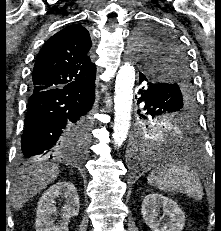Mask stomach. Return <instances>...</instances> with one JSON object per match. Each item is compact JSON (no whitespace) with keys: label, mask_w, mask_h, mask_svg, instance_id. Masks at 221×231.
<instances>
[{"label":"stomach","mask_w":221,"mask_h":231,"mask_svg":"<svg viewBox=\"0 0 221 231\" xmlns=\"http://www.w3.org/2000/svg\"><path fill=\"white\" fill-rule=\"evenodd\" d=\"M171 129H174V125H171V127H170ZM166 131H168V129H166Z\"/></svg>","instance_id":"0dacf381"}]
</instances>
